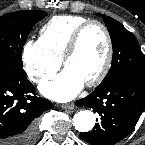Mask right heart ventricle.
Returning <instances> with one entry per match:
<instances>
[{
    "mask_svg": "<svg viewBox=\"0 0 145 145\" xmlns=\"http://www.w3.org/2000/svg\"><path fill=\"white\" fill-rule=\"evenodd\" d=\"M87 20L79 15L54 16L40 28L39 42L50 55L61 59L73 32Z\"/></svg>",
    "mask_w": 145,
    "mask_h": 145,
    "instance_id": "1",
    "label": "right heart ventricle"
}]
</instances>
